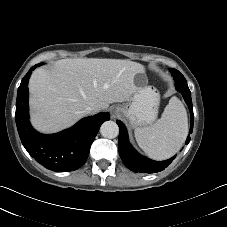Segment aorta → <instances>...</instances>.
Wrapping results in <instances>:
<instances>
[{
	"label": "aorta",
	"mask_w": 227,
	"mask_h": 227,
	"mask_svg": "<svg viewBox=\"0 0 227 227\" xmlns=\"http://www.w3.org/2000/svg\"><path fill=\"white\" fill-rule=\"evenodd\" d=\"M100 133L105 138L113 139L118 136L119 127L114 121H106L101 125Z\"/></svg>",
	"instance_id": "762f6f07"
}]
</instances>
